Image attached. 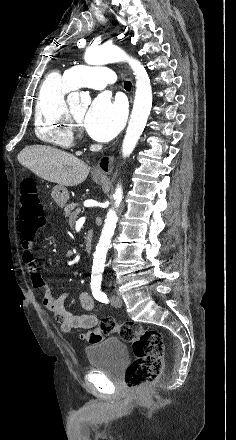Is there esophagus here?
Instances as JSON below:
<instances>
[{"mask_svg":"<svg viewBox=\"0 0 236 440\" xmlns=\"http://www.w3.org/2000/svg\"><path fill=\"white\" fill-rule=\"evenodd\" d=\"M113 170V158L110 156L102 157L95 169L93 170L94 175L100 177L108 176Z\"/></svg>","mask_w":236,"mask_h":440,"instance_id":"esophagus-1","label":"esophagus"}]
</instances>
